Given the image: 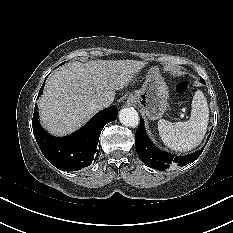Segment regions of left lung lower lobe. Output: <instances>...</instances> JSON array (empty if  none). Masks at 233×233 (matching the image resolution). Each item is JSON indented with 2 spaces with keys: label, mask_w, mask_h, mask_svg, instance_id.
<instances>
[{
  "label": "left lung lower lobe",
  "mask_w": 233,
  "mask_h": 233,
  "mask_svg": "<svg viewBox=\"0 0 233 233\" xmlns=\"http://www.w3.org/2000/svg\"><path fill=\"white\" fill-rule=\"evenodd\" d=\"M135 147L139 157L146 165L157 170H164L175 164L185 166L190 162L195 161L201 155L205 146L201 150L187 156L175 157L172 154L157 149L151 143L146 135L144 123L141 119L140 125L135 134Z\"/></svg>",
  "instance_id": "obj_1"
}]
</instances>
